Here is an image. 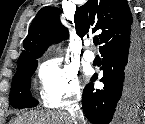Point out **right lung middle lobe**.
Here are the masks:
<instances>
[{
	"instance_id": "1",
	"label": "right lung middle lobe",
	"mask_w": 145,
	"mask_h": 124,
	"mask_svg": "<svg viewBox=\"0 0 145 124\" xmlns=\"http://www.w3.org/2000/svg\"><path fill=\"white\" fill-rule=\"evenodd\" d=\"M36 67L37 61L23 67L14 75L9 96L10 103L13 107L30 108L38 104V101L31 97L29 91L30 78Z\"/></svg>"
}]
</instances>
